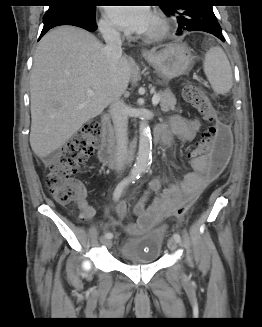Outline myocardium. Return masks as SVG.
<instances>
[{
	"label": "myocardium",
	"mask_w": 262,
	"mask_h": 327,
	"mask_svg": "<svg viewBox=\"0 0 262 327\" xmlns=\"http://www.w3.org/2000/svg\"><path fill=\"white\" fill-rule=\"evenodd\" d=\"M169 24L166 19L159 13L153 14V26L146 31L144 38L148 41H159L169 33Z\"/></svg>",
	"instance_id": "f54148a6"
}]
</instances>
